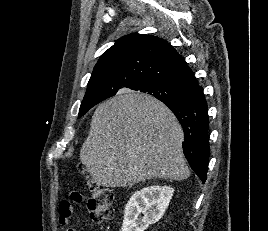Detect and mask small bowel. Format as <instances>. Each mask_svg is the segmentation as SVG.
<instances>
[{
	"instance_id": "small-bowel-1",
	"label": "small bowel",
	"mask_w": 268,
	"mask_h": 231,
	"mask_svg": "<svg viewBox=\"0 0 268 231\" xmlns=\"http://www.w3.org/2000/svg\"><path fill=\"white\" fill-rule=\"evenodd\" d=\"M73 216V206L72 203L63 199L58 208V224L65 226L67 231H80L76 226L71 224V218Z\"/></svg>"
}]
</instances>
